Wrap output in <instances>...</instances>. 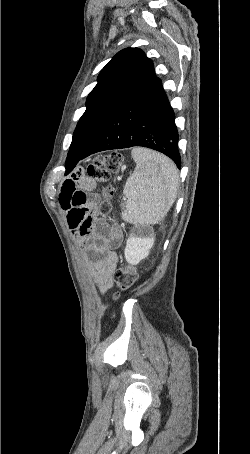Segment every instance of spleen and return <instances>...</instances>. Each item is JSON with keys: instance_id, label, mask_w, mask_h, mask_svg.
<instances>
[{"instance_id": "3e777b00", "label": "spleen", "mask_w": 250, "mask_h": 454, "mask_svg": "<svg viewBox=\"0 0 250 454\" xmlns=\"http://www.w3.org/2000/svg\"><path fill=\"white\" fill-rule=\"evenodd\" d=\"M131 154L136 167L123 189L127 201L121 205V218L135 225L159 223L176 199V166L168 157L149 149L133 148Z\"/></svg>"}]
</instances>
